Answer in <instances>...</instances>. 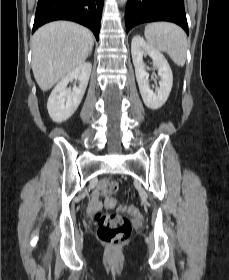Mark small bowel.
Masks as SVG:
<instances>
[{
	"instance_id": "obj_1",
	"label": "small bowel",
	"mask_w": 229,
	"mask_h": 280,
	"mask_svg": "<svg viewBox=\"0 0 229 280\" xmlns=\"http://www.w3.org/2000/svg\"><path fill=\"white\" fill-rule=\"evenodd\" d=\"M102 189H101V186H98L96 187L93 191H92V194H91V200H90V204H89V207H88V211L89 212H94L96 211L98 208H99V197H100V194L102 193ZM105 207L107 209H113L116 207V202L113 198H106L105 200Z\"/></svg>"
}]
</instances>
